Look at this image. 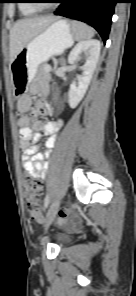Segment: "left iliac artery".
<instances>
[{
  "label": "left iliac artery",
  "mask_w": 136,
  "mask_h": 296,
  "mask_svg": "<svg viewBox=\"0 0 136 296\" xmlns=\"http://www.w3.org/2000/svg\"><path fill=\"white\" fill-rule=\"evenodd\" d=\"M49 200H50V197L45 196V208L49 205Z\"/></svg>",
  "instance_id": "left-iliac-artery-1"
}]
</instances>
